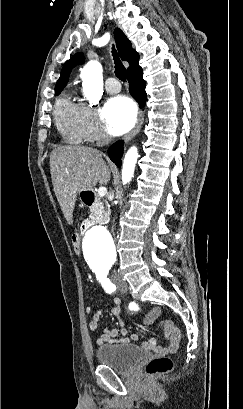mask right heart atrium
I'll use <instances>...</instances> for the list:
<instances>
[{
  "instance_id": "1",
  "label": "right heart atrium",
  "mask_w": 243,
  "mask_h": 409,
  "mask_svg": "<svg viewBox=\"0 0 243 409\" xmlns=\"http://www.w3.org/2000/svg\"><path fill=\"white\" fill-rule=\"evenodd\" d=\"M77 119L83 141L95 143L107 140V135L102 128L94 108L86 103H79Z\"/></svg>"
}]
</instances>
